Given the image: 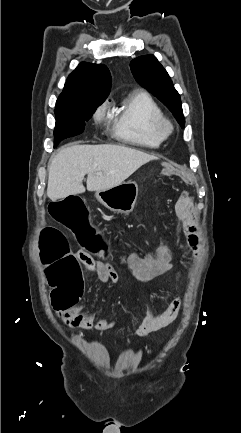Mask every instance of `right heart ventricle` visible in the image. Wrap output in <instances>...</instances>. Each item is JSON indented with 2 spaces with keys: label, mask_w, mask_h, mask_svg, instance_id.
<instances>
[{
  "label": "right heart ventricle",
  "mask_w": 241,
  "mask_h": 433,
  "mask_svg": "<svg viewBox=\"0 0 241 433\" xmlns=\"http://www.w3.org/2000/svg\"><path fill=\"white\" fill-rule=\"evenodd\" d=\"M163 112L150 94L143 90L130 93L115 109L113 136L123 143L144 149L158 148L163 138L156 130Z\"/></svg>",
  "instance_id": "right-heart-ventricle-1"
}]
</instances>
